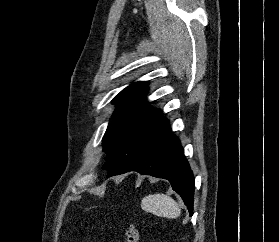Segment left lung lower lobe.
I'll list each match as a JSON object with an SVG mask.
<instances>
[{"mask_svg": "<svg viewBox=\"0 0 279 242\" xmlns=\"http://www.w3.org/2000/svg\"><path fill=\"white\" fill-rule=\"evenodd\" d=\"M129 171L167 179L182 197L190 215L193 214L194 177L180 140L171 132L134 160L123 173Z\"/></svg>", "mask_w": 279, "mask_h": 242, "instance_id": "left-lung-lower-lobe-1", "label": "left lung lower lobe"}]
</instances>
